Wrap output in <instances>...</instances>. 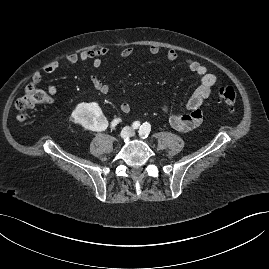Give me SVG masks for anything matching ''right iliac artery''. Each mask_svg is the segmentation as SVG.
Returning <instances> with one entry per match:
<instances>
[{"instance_id": "82829eb1", "label": "right iliac artery", "mask_w": 269, "mask_h": 269, "mask_svg": "<svg viewBox=\"0 0 269 269\" xmlns=\"http://www.w3.org/2000/svg\"><path fill=\"white\" fill-rule=\"evenodd\" d=\"M116 124H117V121L114 120L112 122V127H114ZM132 127H133V129H138L140 127V122L139 121L133 122Z\"/></svg>"}]
</instances>
